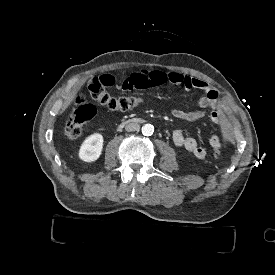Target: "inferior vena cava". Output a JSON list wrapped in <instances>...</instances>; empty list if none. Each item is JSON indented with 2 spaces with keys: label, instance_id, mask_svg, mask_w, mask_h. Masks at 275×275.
Listing matches in <instances>:
<instances>
[{
  "label": "inferior vena cava",
  "instance_id": "1",
  "mask_svg": "<svg viewBox=\"0 0 275 275\" xmlns=\"http://www.w3.org/2000/svg\"><path fill=\"white\" fill-rule=\"evenodd\" d=\"M139 129H140V125L138 123H135V122L128 123L125 126V130L128 131V132L139 131Z\"/></svg>",
  "mask_w": 275,
  "mask_h": 275
}]
</instances>
